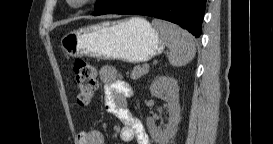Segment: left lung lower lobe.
Here are the masks:
<instances>
[{
    "instance_id": "obj_1",
    "label": "left lung lower lobe",
    "mask_w": 273,
    "mask_h": 144,
    "mask_svg": "<svg viewBox=\"0 0 273 144\" xmlns=\"http://www.w3.org/2000/svg\"><path fill=\"white\" fill-rule=\"evenodd\" d=\"M205 5L206 0H111L102 11L93 15L153 16L178 24L199 37Z\"/></svg>"
}]
</instances>
